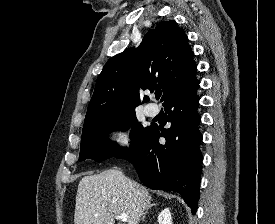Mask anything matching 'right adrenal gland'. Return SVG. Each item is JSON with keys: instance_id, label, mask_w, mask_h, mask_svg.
Listing matches in <instances>:
<instances>
[{"instance_id": "1", "label": "right adrenal gland", "mask_w": 275, "mask_h": 224, "mask_svg": "<svg viewBox=\"0 0 275 224\" xmlns=\"http://www.w3.org/2000/svg\"><path fill=\"white\" fill-rule=\"evenodd\" d=\"M157 205H158L157 203H152V204H150V205L146 208V211L143 213V216H142V221H144L145 215L148 213V210H149L151 207H154V206H157Z\"/></svg>"}]
</instances>
